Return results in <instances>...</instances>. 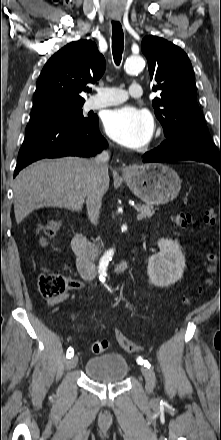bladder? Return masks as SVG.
<instances>
[{
	"mask_svg": "<svg viewBox=\"0 0 221 440\" xmlns=\"http://www.w3.org/2000/svg\"><path fill=\"white\" fill-rule=\"evenodd\" d=\"M128 372V361L120 353L100 354L90 358L85 364L86 376L101 383H120Z\"/></svg>",
	"mask_w": 221,
	"mask_h": 440,
	"instance_id": "31cf9c89",
	"label": "bladder"
}]
</instances>
